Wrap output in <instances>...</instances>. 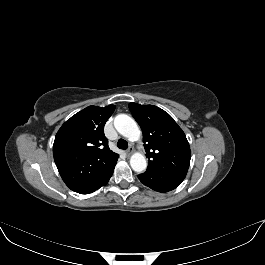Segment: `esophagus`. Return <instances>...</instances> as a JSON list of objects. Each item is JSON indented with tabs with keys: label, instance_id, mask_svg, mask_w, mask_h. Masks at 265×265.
I'll use <instances>...</instances> for the list:
<instances>
[{
	"label": "esophagus",
	"instance_id": "34e87169",
	"mask_svg": "<svg viewBox=\"0 0 265 265\" xmlns=\"http://www.w3.org/2000/svg\"><path fill=\"white\" fill-rule=\"evenodd\" d=\"M134 149L133 147H129L126 151L127 155H131L133 153Z\"/></svg>",
	"mask_w": 265,
	"mask_h": 265
}]
</instances>
